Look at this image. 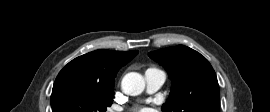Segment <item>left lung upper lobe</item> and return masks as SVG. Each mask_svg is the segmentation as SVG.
Returning <instances> with one entry per match:
<instances>
[{"label":"left lung upper lobe","mask_w":270,"mask_h":112,"mask_svg":"<svg viewBox=\"0 0 270 112\" xmlns=\"http://www.w3.org/2000/svg\"><path fill=\"white\" fill-rule=\"evenodd\" d=\"M172 79V88L163 112H219L220 93L215 71L197 51L179 45L153 51Z\"/></svg>","instance_id":"5c2ea615"}]
</instances>
